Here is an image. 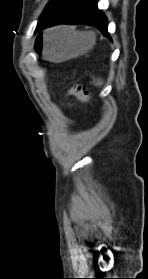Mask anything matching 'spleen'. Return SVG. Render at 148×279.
<instances>
[{
  "mask_svg": "<svg viewBox=\"0 0 148 279\" xmlns=\"http://www.w3.org/2000/svg\"><path fill=\"white\" fill-rule=\"evenodd\" d=\"M81 34H83V35H87V34H92V35H94L95 36V34L93 33V32H82ZM51 35H53V33L51 34ZM98 85H101L102 84V82L101 81H98V83H97Z\"/></svg>",
  "mask_w": 148,
  "mask_h": 279,
  "instance_id": "1",
  "label": "spleen"
}]
</instances>
